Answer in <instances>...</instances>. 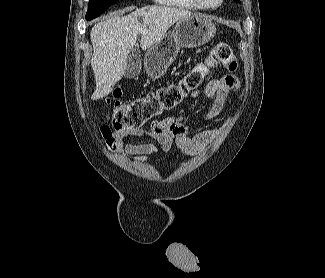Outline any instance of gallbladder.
<instances>
[{"instance_id": "gallbladder-1", "label": "gallbladder", "mask_w": 325, "mask_h": 278, "mask_svg": "<svg viewBox=\"0 0 325 278\" xmlns=\"http://www.w3.org/2000/svg\"><path fill=\"white\" fill-rule=\"evenodd\" d=\"M140 56L141 53L138 48L135 47L130 51L126 61L125 77L131 79L137 76L141 68Z\"/></svg>"}]
</instances>
